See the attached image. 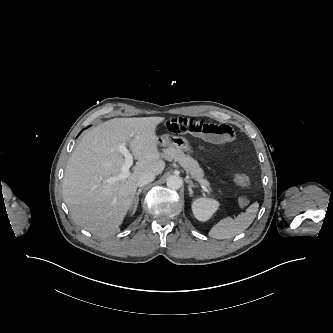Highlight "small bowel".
<instances>
[{
	"instance_id": "1",
	"label": "small bowel",
	"mask_w": 333,
	"mask_h": 333,
	"mask_svg": "<svg viewBox=\"0 0 333 333\" xmlns=\"http://www.w3.org/2000/svg\"><path fill=\"white\" fill-rule=\"evenodd\" d=\"M164 128L173 134L192 135L213 144L234 140L233 129L227 124H214L190 117H172L163 122Z\"/></svg>"
}]
</instances>
